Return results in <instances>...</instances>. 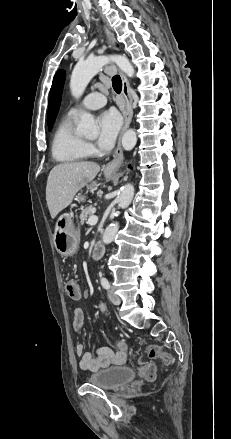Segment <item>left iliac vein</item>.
<instances>
[{
    "label": "left iliac vein",
    "instance_id": "obj_1",
    "mask_svg": "<svg viewBox=\"0 0 231 439\" xmlns=\"http://www.w3.org/2000/svg\"><path fill=\"white\" fill-rule=\"evenodd\" d=\"M108 296H109L110 301L114 305H119L121 303L120 297L118 295H116L112 290H108Z\"/></svg>",
    "mask_w": 231,
    "mask_h": 439
}]
</instances>
